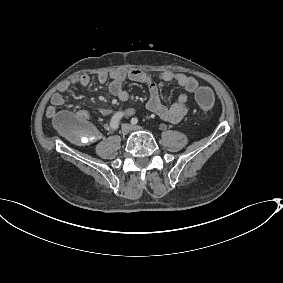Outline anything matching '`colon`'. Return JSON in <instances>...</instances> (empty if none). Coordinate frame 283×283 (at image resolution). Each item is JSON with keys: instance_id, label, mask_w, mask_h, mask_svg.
Returning a JSON list of instances; mask_svg holds the SVG:
<instances>
[{"instance_id": "obj_1", "label": "colon", "mask_w": 283, "mask_h": 283, "mask_svg": "<svg viewBox=\"0 0 283 283\" xmlns=\"http://www.w3.org/2000/svg\"><path fill=\"white\" fill-rule=\"evenodd\" d=\"M196 100L201 112L208 113L214 106L215 97L211 89L201 87L196 93ZM54 121L57 129L76 144H90L97 138L95 128L77 115L59 112Z\"/></svg>"}]
</instances>
